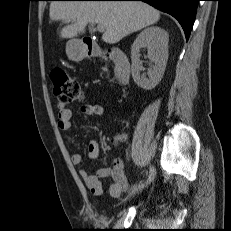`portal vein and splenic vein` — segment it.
I'll use <instances>...</instances> for the list:
<instances>
[{"label":"portal vein and splenic vein","instance_id":"obj_1","mask_svg":"<svg viewBox=\"0 0 231 231\" xmlns=\"http://www.w3.org/2000/svg\"><path fill=\"white\" fill-rule=\"evenodd\" d=\"M97 29H98L99 32H103L104 31V26L101 25L100 23H98Z\"/></svg>","mask_w":231,"mask_h":231}]
</instances>
